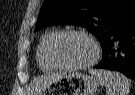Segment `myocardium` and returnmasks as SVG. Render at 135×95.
<instances>
[{"mask_svg":"<svg viewBox=\"0 0 135 95\" xmlns=\"http://www.w3.org/2000/svg\"><path fill=\"white\" fill-rule=\"evenodd\" d=\"M66 35H79L88 39L92 44L94 50L92 58L87 62L78 65H67L58 62L54 57V46L60 38ZM46 55L49 63L58 69L69 70V71L82 70L92 66L97 61L100 55V48L97 41L89 33L83 30L68 29V30L59 31L52 37V39L50 40L47 46Z\"/></svg>","mask_w":135,"mask_h":95,"instance_id":"f54148a6","label":"myocardium"}]
</instances>
